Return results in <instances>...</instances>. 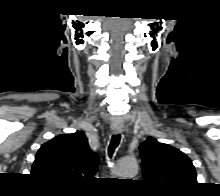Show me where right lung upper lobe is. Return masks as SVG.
Masks as SVG:
<instances>
[{"mask_svg":"<svg viewBox=\"0 0 220 196\" xmlns=\"http://www.w3.org/2000/svg\"><path fill=\"white\" fill-rule=\"evenodd\" d=\"M99 158L90 150L85 134H62L43 144L36 154L31 174L63 188L79 185L95 175Z\"/></svg>","mask_w":220,"mask_h":196,"instance_id":"right-lung-upper-lobe-1","label":"right lung upper lobe"}]
</instances>
